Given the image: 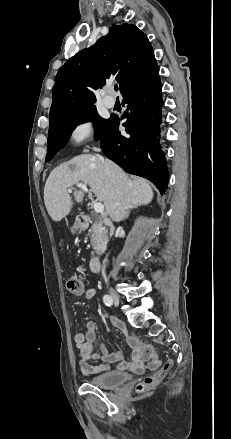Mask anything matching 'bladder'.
I'll list each match as a JSON object with an SVG mask.
<instances>
[{
    "label": "bladder",
    "mask_w": 231,
    "mask_h": 439,
    "mask_svg": "<svg viewBox=\"0 0 231 439\" xmlns=\"http://www.w3.org/2000/svg\"><path fill=\"white\" fill-rule=\"evenodd\" d=\"M131 378V374L120 371H106L90 376L88 383L102 388L113 389L125 384Z\"/></svg>",
    "instance_id": "obj_1"
}]
</instances>
